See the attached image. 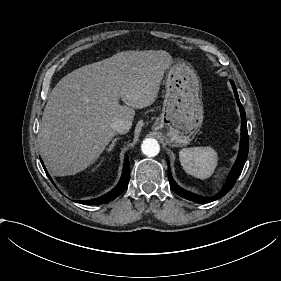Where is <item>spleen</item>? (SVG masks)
Instances as JSON below:
<instances>
[{
	"mask_svg": "<svg viewBox=\"0 0 281 281\" xmlns=\"http://www.w3.org/2000/svg\"><path fill=\"white\" fill-rule=\"evenodd\" d=\"M178 155L185 173L200 180L210 179L219 163L218 152L209 146L182 149Z\"/></svg>",
	"mask_w": 281,
	"mask_h": 281,
	"instance_id": "obj_1",
	"label": "spleen"
}]
</instances>
